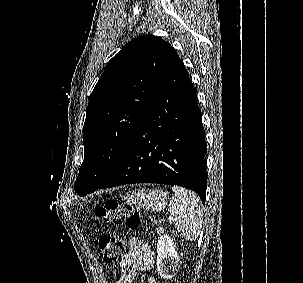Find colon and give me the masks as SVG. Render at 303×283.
<instances>
[{
	"label": "colon",
	"instance_id": "1",
	"mask_svg": "<svg viewBox=\"0 0 303 283\" xmlns=\"http://www.w3.org/2000/svg\"><path fill=\"white\" fill-rule=\"evenodd\" d=\"M94 215L97 220L115 225L125 224L129 229H137L141 225L139 209L128 202L121 204L115 200H108L95 208ZM98 242L103 259L109 264L118 262L126 249L125 239L109 229L100 233Z\"/></svg>",
	"mask_w": 303,
	"mask_h": 283
}]
</instances>
